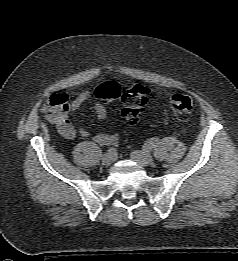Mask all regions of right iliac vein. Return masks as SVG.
<instances>
[{"mask_svg": "<svg viewBox=\"0 0 238 261\" xmlns=\"http://www.w3.org/2000/svg\"><path fill=\"white\" fill-rule=\"evenodd\" d=\"M114 157H115L114 154L110 155L109 152H107L102 156V163L104 165H108L114 160Z\"/></svg>", "mask_w": 238, "mask_h": 261, "instance_id": "63e3f726", "label": "right iliac vein"}]
</instances>
